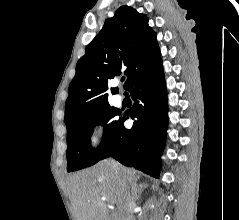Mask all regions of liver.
I'll return each instance as SVG.
<instances>
[{"mask_svg":"<svg viewBox=\"0 0 239 220\" xmlns=\"http://www.w3.org/2000/svg\"><path fill=\"white\" fill-rule=\"evenodd\" d=\"M115 172L108 161H101L68 179L67 191L75 220H110L108 204L123 211L122 183L130 188L137 181L136 171L119 166Z\"/></svg>","mask_w":239,"mask_h":220,"instance_id":"1","label":"liver"}]
</instances>
